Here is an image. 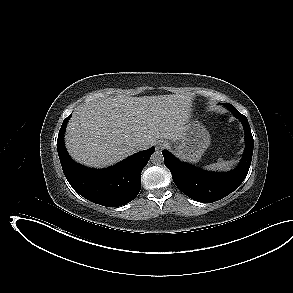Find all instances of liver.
<instances>
[{"mask_svg": "<svg viewBox=\"0 0 293 293\" xmlns=\"http://www.w3.org/2000/svg\"><path fill=\"white\" fill-rule=\"evenodd\" d=\"M193 93L93 99L68 122L65 145L71 157L102 168L134 154L137 142L180 141L193 112Z\"/></svg>", "mask_w": 293, "mask_h": 293, "instance_id": "liver-1", "label": "liver"}]
</instances>
